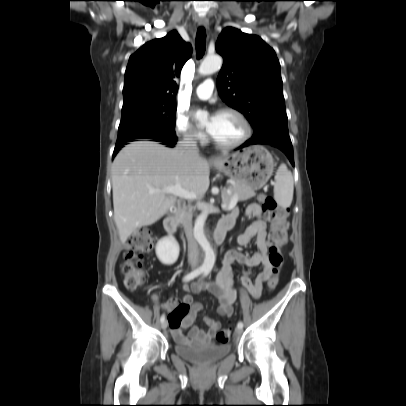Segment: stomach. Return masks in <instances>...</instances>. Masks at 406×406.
I'll return each instance as SVG.
<instances>
[{
  "label": "stomach",
  "mask_w": 406,
  "mask_h": 406,
  "mask_svg": "<svg viewBox=\"0 0 406 406\" xmlns=\"http://www.w3.org/2000/svg\"><path fill=\"white\" fill-rule=\"evenodd\" d=\"M274 165L272 155L260 145L247 147L214 164L235 183L251 190H259L267 183Z\"/></svg>",
  "instance_id": "0dacf381"
}]
</instances>
